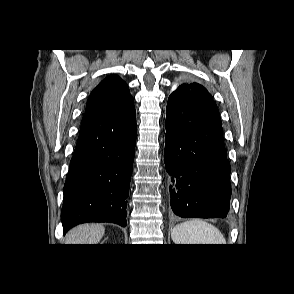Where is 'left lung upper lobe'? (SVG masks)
I'll use <instances>...</instances> for the list:
<instances>
[{
	"label": "left lung upper lobe",
	"instance_id": "1",
	"mask_svg": "<svg viewBox=\"0 0 294 294\" xmlns=\"http://www.w3.org/2000/svg\"><path fill=\"white\" fill-rule=\"evenodd\" d=\"M170 96L193 103H214L205 87L195 82H183Z\"/></svg>",
	"mask_w": 294,
	"mask_h": 294
}]
</instances>
